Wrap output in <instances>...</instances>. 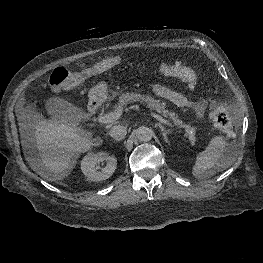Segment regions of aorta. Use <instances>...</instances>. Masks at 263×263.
Masks as SVG:
<instances>
[{
  "label": "aorta",
  "mask_w": 263,
  "mask_h": 263,
  "mask_svg": "<svg viewBox=\"0 0 263 263\" xmlns=\"http://www.w3.org/2000/svg\"><path fill=\"white\" fill-rule=\"evenodd\" d=\"M153 131L152 129L141 126L136 130V137L141 142H148L152 139Z\"/></svg>",
  "instance_id": "obj_1"
}]
</instances>
